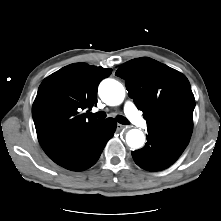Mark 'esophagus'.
<instances>
[{"instance_id": "esophagus-1", "label": "esophagus", "mask_w": 221, "mask_h": 221, "mask_svg": "<svg viewBox=\"0 0 221 221\" xmlns=\"http://www.w3.org/2000/svg\"><path fill=\"white\" fill-rule=\"evenodd\" d=\"M127 126L125 125H122V124H117V130H123V129H126Z\"/></svg>"}]
</instances>
